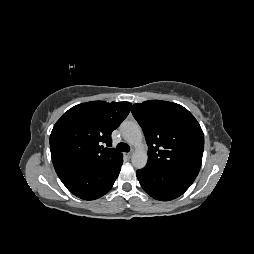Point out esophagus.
<instances>
[{
    "mask_svg": "<svg viewBox=\"0 0 254 254\" xmlns=\"http://www.w3.org/2000/svg\"><path fill=\"white\" fill-rule=\"evenodd\" d=\"M132 154H133V152H129V153L126 154V156H127L128 158H131V157H132Z\"/></svg>",
    "mask_w": 254,
    "mask_h": 254,
    "instance_id": "esophagus-1",
    "label": "esophagus"
}]
</instances>
